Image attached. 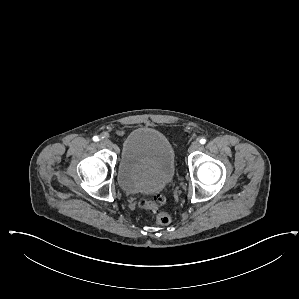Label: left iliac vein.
Returning <instances> with one entry per match:
<instances>
[{
    "instance_id": "obj_1",
    "label": "left iliac vein",
    "mask_w": 299,
    "mask_h": 299,
    "mask_svg": "<svg viewBox=\"0 0 299 299\" xmlns=\"http://www.w3.org/2000/svg\"><path fill=\"white\" fill-rule=\"evenodd\" d=\"M200 148V143L199 142H197V141H194L191 145H190V147H189V152L191 153V152H194V151H196V150H198Z\"/></svg>"
}]
</instances>
